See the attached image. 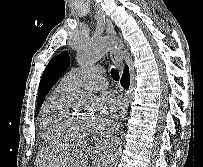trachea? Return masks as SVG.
I'll return each instance as SVG.
<instances>
[{"label":"trachea","mask_w":203,"mask_h":167,"mask_svg":"<svg viewBox=\"0 0 203 167\" xmlns=\"http://www.w3.org/2000/svg\"><path fill=\"white\" fill-rule=\"evenodd\" d=\"M111 76L115 81L119 80V72L115 68L111 69Z\"/></svg>","instance_id":"1"}]
</instances>
